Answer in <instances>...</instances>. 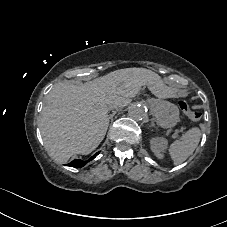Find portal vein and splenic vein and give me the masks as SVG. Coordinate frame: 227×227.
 Wrapping results in <instances>:
<instances>
[{
    "mask_svg": "<svg viewBox=\"0 0 227 227\" xmlns=\"http://www.w3.org/2000/svg\"><path fill=\"white\" fill-rule=\"evenodd\" d=\"M183 132H184V131H183L182 129L178 128V129L172 134V137L176 139V138L178 137L177 134H178V133H181V134H182Z\"/></svg>",
    "mask_w": 227,
    "mask_h": 227,
    "instance_id": "portal-vein-and-splenic-vein-1",
    "label": "portal vein and splenic vein"
}]
</instances>
